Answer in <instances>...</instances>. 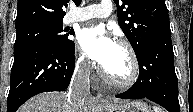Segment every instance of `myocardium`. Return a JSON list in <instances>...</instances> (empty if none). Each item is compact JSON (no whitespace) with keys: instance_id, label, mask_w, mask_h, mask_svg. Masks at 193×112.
Here are the masks:
<instances>
[{"instance_id":"myocardium-1","label":"myocardium","mask_w":193,"mask_h":112,"mask_svg":"<svg viewBox=\"0 0 193 112\" xmlns=\"http://www.w3.org/2000/svg\"><path fill=\"white\" fill-rule=\"evenodd\" d=\"M117 44L122 46L128 53L130 59V72L125 79L119 80L112 78L101 66L99 73L101 77L110 85L117 88H129L135 84L139 76V61L133 46L125 39H118Z\"/></svg>"}]
</instances>
